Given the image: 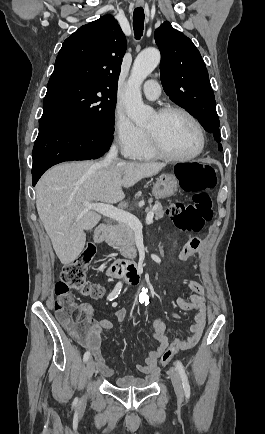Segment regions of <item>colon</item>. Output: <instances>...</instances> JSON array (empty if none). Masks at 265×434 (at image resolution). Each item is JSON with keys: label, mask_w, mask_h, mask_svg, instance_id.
<instances>
[{"label": "colon", "mask_w": 265, "mask_h": 434, "mask_svg": "<svg viewBox=\"0 0 265 434\" xmlns=\"http://www.w3.org/2000/svg\"><path fill=\"white\" fill-rule=\"evenodd\" d=\"M176 172L178 181H183L184 190L193 193L191 202L174 201L169 205V217L179 230L188 235L199 233L204 224L211 220V202L208 190L216 185V171L213 166L200 164L197 158L187 161V164H177ZM95 255V248L89 246L79 258L66 264L59 277L57 278L55 291L59 300L55 302L56 313L60 318V327H72L71 339H79L77 320L68 308V303L72 297L70 290H75L83 296L91 299H100L104 294V289L100 284L93 283L87 279V272L90 261ZM183 346L180 339L171 342L170 347H166L165 353L161 356L162 365L170 362V356H178ZM186 348V347H185Z\"/></svg>", "instance_id": "obj_1"}]
</instances>
